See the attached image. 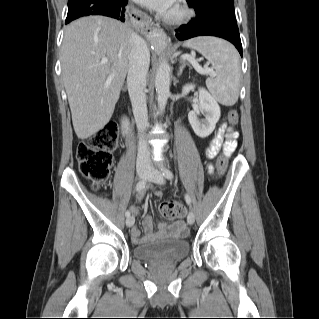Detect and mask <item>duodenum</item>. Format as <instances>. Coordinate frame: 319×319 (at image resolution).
I'll use <instances>...</instances> for the list:
<instances>
[{"label":"duodenum","mask_w":319,"mask_h":319,"mask_svg":"<svg viewBox=\"0 0 319 319\" xmlns=\"http://www.w3.org/2000/svg\"><path fill=\"white\" fill-rule=\"evenodd\" d=\"M120 124H121V129H122V133L125 137H127L130 133V125H129V121L126 117H123L120 120Z\"/></svg>","instance_id":"obj_1"}]
</instances>
